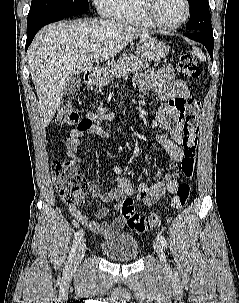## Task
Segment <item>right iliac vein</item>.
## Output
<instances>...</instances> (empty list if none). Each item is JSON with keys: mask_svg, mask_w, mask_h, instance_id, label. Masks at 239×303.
Returning a JSON list of instances; mask_svg holds the SVG:
<instances>
[{"mask_svg": "<svg viewBox=\"0 0 239 303\" xmlns=\"http://www.w3.org/2000/svg\"><path fill=\"white\" fill-rule=\"evenodd\" d=\"M85 251H86V241L83 240L80 243L79 247H78L76 257H75V260H74L73 265H72V270L73 271L77 270V268L81 264V261H82L84 255H85Z\"/></svg>", "mask_w": 239, "mask_h": 303, "instance_id": "63e3f726", "label": "right iliac vein"}]
</instances>
